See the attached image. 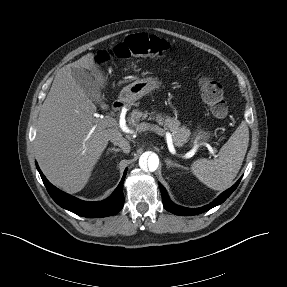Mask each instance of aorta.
Instances as JSON below:
<instances>
[{
    "label": "aorta",
    "instance_id": "1",
    "mask_svg": "<svg viewBox=\"0 0 287 287\" xmlns=\"http://www.w3.org/2000/svg\"><path fill=\"white\" fill-rule=\"evenodd\" d=\"M139 165L144 170L155 171L159 166V158L155 153H144L139 159Z\"/></svg>",
    "mask_w": 287,
    "mask_h": 287
}]
</instances>
